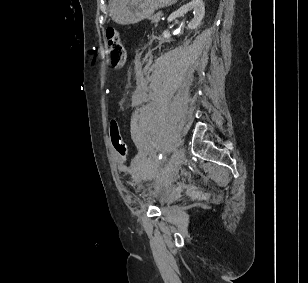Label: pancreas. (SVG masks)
Returning a JSON list of instances; mask_svg holds the SVG:
<instances>
[{"label": "pancreas", "mask_w": 308, "mask_h": 283, "mask_svg": "<svg viewBox=\"0 0 308 283\" xmlns=\"http://www.w3.org/2000/svg\"><path fill=\"white\" fill-rule=\"evenodd\" d=\"M149 19L151 20L152 23L155 24V26H157L158 22L160 21L159 13L155 14L154 16H151Z\"/></svg>", "instance_id": "cf45deb5"}]
</instances>
